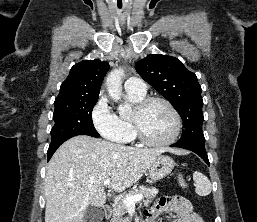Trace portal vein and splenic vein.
<instances>
[{"label": "portal vein and splenic vein", "instance_id": "portal-vein-and-splenic-vein-1", "mask_svg": "<svg viewBox=\"0 0 257 222\" xmlns=\"http://www.w3.org/2000/svg\"><path fill=\"white\" fill-rule=\"evenodd\" d=\"M111 182V180L108 178V179H105L103 184L105 186L109 185ZM143 199V196L142 194H136V195H132V196H126L124 199H123V203L124 205L127 207V208H130V207H134L135 206V203L136 202H139Z\"/></svg>", "mask_w": 257, "mask_h": 222}]
</instances>
